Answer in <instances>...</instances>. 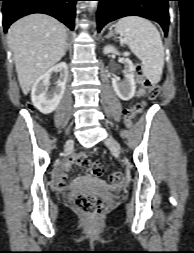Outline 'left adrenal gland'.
I'll list each match as a JSON object with an SVG mask.
<instances>
[{"mask_svg":"<svg viewBox=\"0 0 194 253\" xmlns=\"http://www.w3.org/2000/svg\"><path fill=\"white\" fill-rule=\"evenodd\" d=\"M113 35H114L113 31H112V29H110L109 33L105 37L109 38V37H111Z\"/></svg>","mask_w":194,"mask_h":253,"instance_id":"obj_1","label":"left adrenal gland"}]
</instances>
